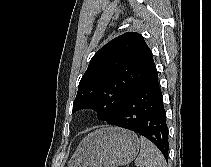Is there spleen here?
I'll list each match as a JSON object with an SVG mask.
<instances>
[{"label":"spleen","instance_id":"1","mask_svg":"<svg viewBox=\"0 0 211 167\" xmlns=\"http://www.w3.org/2000/svg\"><path fill=\"white\" fill-rule=\"evenodd\" d=\"M141 150L135 160L137 167H167L162 153L145 137L140 138Z\"/></svg>","mask_w":211,"mask_h":167}]
</instances>
